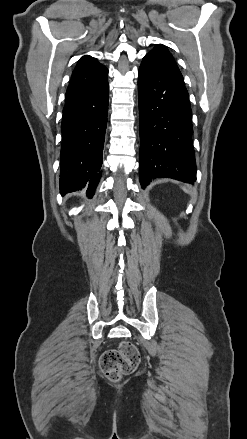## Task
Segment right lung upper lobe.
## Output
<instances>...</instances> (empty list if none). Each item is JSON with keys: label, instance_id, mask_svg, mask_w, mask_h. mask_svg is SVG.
<instances>
[{"label": "right lung upper lobe", "instance_id": "cb5924a9", "mask_svg": "<svg viewBox=\"0 0 247 439\" xmlns=\"http://www.w3.org/2000/svg\"><path fill=\"white\" fill-rule=\"evenodd\" d=\"M108 69L90 56L77 63L68 85L66 96L96 89L107 82Z\"/></svg>", "mask_w": 247, "mask_h": 439}]
</instances>
